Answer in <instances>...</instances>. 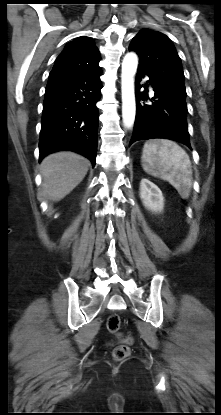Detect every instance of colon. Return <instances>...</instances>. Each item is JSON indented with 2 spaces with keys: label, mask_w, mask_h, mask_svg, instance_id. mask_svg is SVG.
Returning a JSON list of instances; mask_svg holds the SVG:
<instances>
[{
  "label": "colon",
  "mask_w": 221,
  "mask_h": 415,
  "mask_svg": "<svg viewBox=\"0 0 221 415\" xmlns=\"http://www.w3.org/2000/svg\"><path fill=\"white\" fill-rule=\"evenodd\" d=\"M121 325V319L117 314H111L106 320V328L109 332L117 334ZM130 338L123 339L122 342L112 349V356L115 360H123L130 354Z\"/></svg>",
  "instance_id": "obj_1"
}]
</instances>
